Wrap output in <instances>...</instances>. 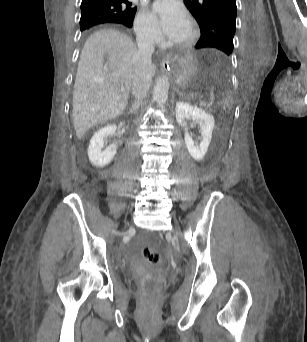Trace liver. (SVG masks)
Returning a JSON list of instances; mask_svg holds the SVG:
<instances>
[{"instance_id": "liver-1", "label": "liver", "mask_w": 307, "mask_h": 342, "mask_svg": "<svg viewBox=\"0 0 307 342\" xmlns=\"http://www.w3.org/2000/svg\"><path fill=\"white\" fill-rule=\"evenodd\" d=\"M137 48L119 30H99L87 38L73 90V124L78 140L97 124L124 112L131 90ZM153 70L156 66L152 64Z\"/></svg>"}]
</instances>
